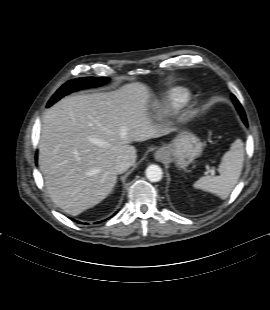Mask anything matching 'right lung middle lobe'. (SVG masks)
Returning a JSON list of instances; mask_svg holds the SVG:
<instances>
[{"label": "right lung middle lobe", "mask_w": 270, "mask_h": 310, "mask_svg": "<svg viewBox=\"0 0 270 310\" xmlns=\"http://www.w3.org/2000/svg\"><path fill=\"white\" fill-rule=\"evenodd\" d=\"M109 79L105 77H84L78 78L74 80H70L65 83L58 91L52 96L50 101L48 102V107L51 106L53 103L58 101L61 97L77 91L81 88L86 87H96L106 83Z\"/></svg>", "instance_id": "obj_1"}]
</instances>
